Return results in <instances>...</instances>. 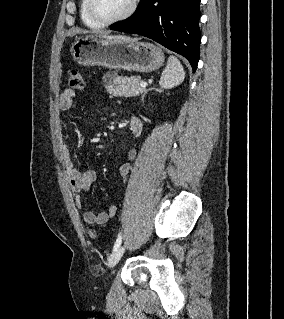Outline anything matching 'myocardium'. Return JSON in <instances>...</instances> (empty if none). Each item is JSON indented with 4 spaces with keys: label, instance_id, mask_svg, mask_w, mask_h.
Wrapping results in <instances>:
<instances>
[{
    "label": "myocardium",
    "instance_id": "obj_1",
    "mask_svg": "<svg viewBox=\"0 0 284 319\" xmlns=\"http://www.w3.org/2000/svg\"><path fill=\"white\" fill-rule=\"evenodd\" d=\"M137 3L138 0H130L128 7L126 8V10L121 13L120 15L111 18V19H104L102 17H100L94 8V0H87V11L89 16L98 24L102 25V26H109V25H113L119 22H122L126 19H128L135 11L136 7H137Z\"/></svg>",
    "mask_w": 284,
    "mask_h": 319
}]
</instances>
